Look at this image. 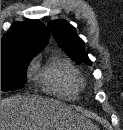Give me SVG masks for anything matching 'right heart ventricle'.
I'll return each mask as SVG.
<instances>
[{"instance_id": "1", "label": "right heart ventricle", "mask_w": 123, "mask_h": 130, "mask_svg": "<svg viewBox=\"0 0 123 130\" xmlns=\"http://www.w3.org/2000/svg\"><path fill=\"white\" fill-rule=\"evenodd\" d=\"M34 70L45 90L57 96L73 99L83 88L80 71L65 58L51 57L44 64L36 61Z\"/></svg>"}]
</instances>
